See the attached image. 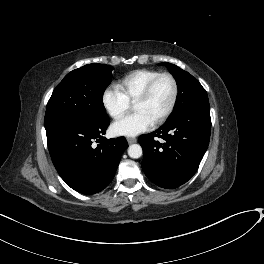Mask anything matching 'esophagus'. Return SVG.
<instances>
[{
  "label": "esophagus",
  "mask_w": 264,
  "mask_h": 264,
  "mask_svg": "<svg viewBox=\"0 0 264 264\" xmlns=\"http://www.w3.org/2000/svg\"><path fill=\"white\" fill-rule=\"evenodd\" d=\"M136 141H137L136 138H131V137H128V138H127V142H128L129 144L135 143Z\"/></svg>",
  "instance_id": "34e87169"
}]
</instances>
